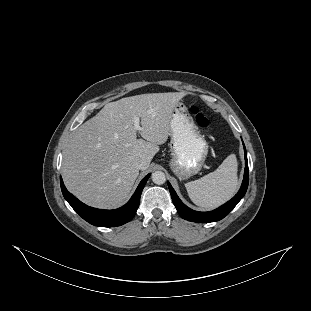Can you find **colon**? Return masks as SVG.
<instances>
[{"label": "colon", "mask_w": 311, "mask_h": 311, "mask_svg": "<svg viewBox=\"0 0 311 311\" xmlns=\"http://www.w3.org/2000/svg\"><path fill=\"white\" fill-rule=\"evenodd\" d=\"M190 114L194 118L196 124L201 128H206L209 125L208 117L201 111V109L196 106H190Z\"/></svg>", "instance_id": "1"}]
</instances>
